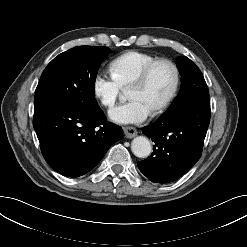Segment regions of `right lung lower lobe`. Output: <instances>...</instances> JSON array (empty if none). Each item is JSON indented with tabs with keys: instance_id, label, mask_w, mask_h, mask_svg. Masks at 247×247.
<instances>
[{
	"instance_id": "1",
	"label": "right lung lower lobe",
	"mask_w": 247,
	"mask_h": 247,
	"mask_svg": "<svg viewBox=\"0 0 247 247\" xmlns=\"http://www.w3.org/2000/svg\"><path fill=\"white\" fill-rule=\"evenodd\" d=\"M33 127L46 162L67 177L89 172L123 137L122 128L108 123L100 108L86 110L66 100L35 109Z\"/></svg>"
}]
</instances>
